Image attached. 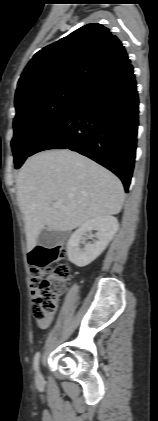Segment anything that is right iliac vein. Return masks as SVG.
Listing matches in <instances>:
<instances>
[{
    "label": "right iliac vein",
    "mask_w": 158,
    "mask_h": 421,
    "mask_svg": "<svg viewBox=\"0 0 158 421\" xmlns=\"http://www.w3.org/2000/svg\"><path fill=\"white\" fill-rule=\"evenodd\" d=\"M36 381L39 383L42 381V374L39 371L37 372V375H36Z\"/></svg>",
    "instance_id": "1"
}]
</instances>
